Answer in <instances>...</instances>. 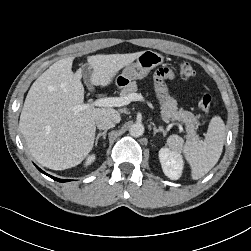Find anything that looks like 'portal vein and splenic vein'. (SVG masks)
I'll return each instance as SVG.
<instances>
[{"instance_id": "obj_1", "label": "portal vein and splenic vein", "mask_w": 251, "mask_h": 251, "mask_svg": "<svg viewBox=\"0 0 251 251\" xmlns=\"http://www.w3.org/2000/svg\"><path fill=\"white\" fill-rule=\"evenodd\" d=\"M131 101H144V97L138 93H132L124 97L99 98L92 103L77 105L74 107L76 112L83 111L90 107H121L128 105ZM167 122L166 120H164Z\"/></svg>"}]
</instances>
